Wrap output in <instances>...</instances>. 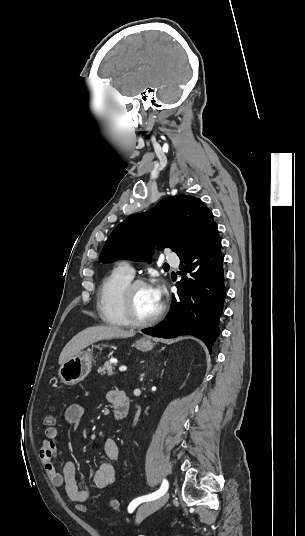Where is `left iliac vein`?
<instances>
[{"label":"left iliac vein","mask_w":305,"mask_h":536,"mask_svg":"<svg viewBox=\"0 0 305 536\" xmlns=\"http://www.w3.org/2000/svg\"><path fill=\"white\" fill-rule=\"evenodd\" d=\"M170 494L169 492H166L159 498L152 500L150 502L142 504L136 513V523H140L145 517L156 511L157 509L161 508L166 504V502L169 500Z\"/></svg>","instance_id":"4c4485c4"}]
</instances>
